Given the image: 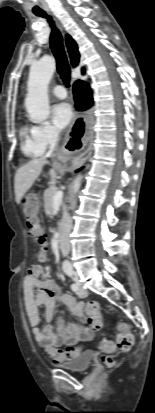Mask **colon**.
<instances>
[{"label": "colon", "instance_id": "colon-1", "mask_svg": "<svg viewBox=\"0 0 155 413\" xmlns=\"http://www.w3.org/2000/svg\"><path fill=\"white\" fill-rule=\"evenodd\" d=\"M40 203L39 195L36 192H25L22 199V204L24 206L25 217L29 229V234L35 239L39 249L37 250L35 256L39 260H44L47 257L46 251V233L45 230L38 219V212L36 206ZM100 310L99 303L97 301H90L87 304V312L93 315H98ZM118 336H117V346L121 351L128 352L131 350L134 342V337L130 333L128 325L124 322L118 324ZM101 346L106 350H111L112 346L106 342H103ZM103 362L107 366H112L114 360L109 355H104L102 357Z\"/></svg>", "mask_w": 155, "mask_h": 413}]
</instances>
